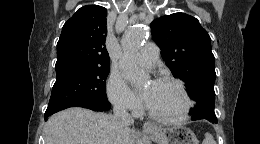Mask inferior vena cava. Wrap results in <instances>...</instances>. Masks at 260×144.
Masks as SVG:
<instances>
[{
    "label": "inferior vena cava",
    "instance_id": "inferior-vena-cava-1",
    "mask_svg": "<svg viewBox=\"0 0 260 144\" xmlns=\"http://www.w3.org/2000/svg\"><path fill=\"white\" fill-rule=\"evenodd\" d=\"M113 113L119 124L123 126H129L134 123L132 116L128 113L127 108L124 105H115Z\"/></svg>",
    "mask_w": 260,
    "mask_h": 144
}]
</instances>
